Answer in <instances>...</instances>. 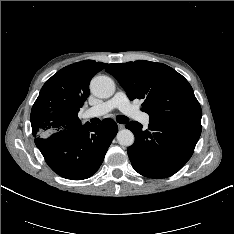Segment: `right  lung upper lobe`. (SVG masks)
<instances>
[{"instance_id": "cb5924a9", "label": "right lung upper lobe", "mask_w": 234, "mask_h": 234, "mask_svg": "<svg viewBox=\"0 0 234 234\" xmlns=\"http://www.w3.org/2000/svg\"><path fill=\"white\" fill-rule=\"evenodd\" d=\"M106 65L85 60L62 68L48 79L31 110L32 134L42 137L81 126L78 112L89 96L90 80Z\"/></svg>"}]
</instances>
